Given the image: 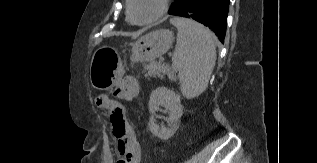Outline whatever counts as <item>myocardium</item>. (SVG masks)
Segmentation results:
<instances>
[{"label": "myocardium", "mask_w": 317, "mask_h": 163, "mask_svg": "<svg viewBox=\"0 0 317 163\" xmlns=\"http://www.w3.org/2000/svg\"><path fill=\"white\" fill-rule=\"evenodd\" d=\"M132 2L133 0H127V17L129 19V21L135 25H139V26H146V25H150L155 23L156 21H158L159 19H161L168 11L169 8V0H160V8L159 11L157 12L156 15H154L153 17L144 20V21H138L136 19H134L133 15H132Z\"/></svg>", "instance_id": "myocardium-1"}]
</instances>
